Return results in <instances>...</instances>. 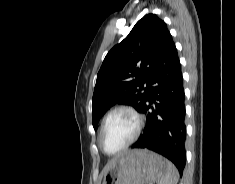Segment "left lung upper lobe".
<instances>
[{"label":"left lung upper lobe","instance_id":"1","mask_svg":"<svg viewBox=\"0 0 235 184\" xmlns=\"http://www.w3.org/2000/svg\"><path fill=\"white\" fill-rule=\"evenodd\" d=\"M168 35L166 23L157 15L148 14L135 24L122 42L108 52L97 74L92 98V123L95 129L102 115L116 103L130 105L141 111Z\"/></svg>","mask_w":235,"mask_h":184}]
</instances>
